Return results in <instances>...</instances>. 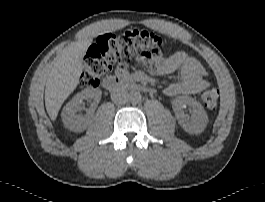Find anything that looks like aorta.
<instances>
[{
    "mask_svg": "<svg viewBox=\"0 0 265 202\" xmlns=\"http://www.w3.org/2000/svg\"><path fill=\"white\" fill-rule=\"evenodd\" d=\"M142 99V95L139 91H131L129 93V98H128V101L132 104H137L141 101Z\"/></svg>",
    "mask_w": 265,
    "mask_h": 202,
    "instance_id": "aorta-1",
    "label": "aorta"
}]
</instances>
